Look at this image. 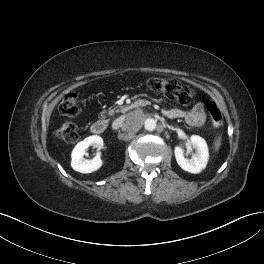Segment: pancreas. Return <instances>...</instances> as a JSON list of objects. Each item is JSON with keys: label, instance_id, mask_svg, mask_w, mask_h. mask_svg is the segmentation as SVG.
I'll return each instance as SVG.
<instances>
[{"label": "pancreas", "instance_id": "pancreas-1", "mask_svg": "<svg viewBox=\"0 0 264 264\" xmlns=\"http://www.w3.org/2000/svg\"><path fill=\"white\" fill-rule=\"evenodd\" d=\"M115 112H120V111H119V110H115V109H111V110L108 111V114H109V115H113ZM105 114H106V111H103V112L101 113V117H102V118H105Z\"/></svg>", "mask_w": 264, "mask_h": 264}]
</instances>
